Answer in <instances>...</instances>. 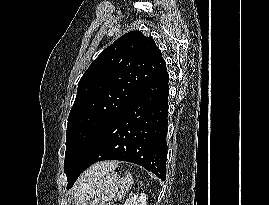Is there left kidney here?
Masks as SVG:
<instances>
[{
	"mask_svg": "<svg viewBox=\"0 0 269 205\" xmlns=\"http://www.w3.org/2000/svg\"><path fill=\"white\" fill-rule=\"evenodd\" d=\"M146 200V194H136L127 199L124 205H147Z\"/></svg>",
	"mask_w": 269,
	"mask_h": 205,
	"instance_id": "left-kidney-1",
	"label": "left kidney"
}]
</instances>
